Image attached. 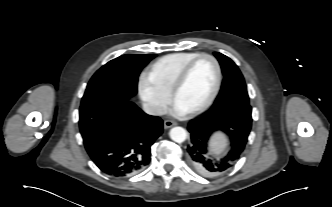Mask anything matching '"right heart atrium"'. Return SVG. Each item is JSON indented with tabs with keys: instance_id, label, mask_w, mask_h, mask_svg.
Wrapping results in <instances>:
<instances>
[{
	"instance_id": "right-heart-atrium-1",
	"label": "right heart atrium",
	"mask_w": 332,
	"mask_h": 207,
	"mask_svg": "<svg viewBox=\"0 0 332 207\" xmlns=\"http://www.w3.org/2000/svg\"><path fill=\"white\" fill-rule=\"evenodd\" d=\"M139 93L147 109L154 115H162L170 102V94L152 83L146 75L139 80Z\"/></svg>"
}]
</instances>
